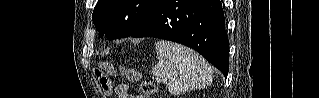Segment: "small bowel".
Here are the masks:
<instances>
[{"mask_svg":"<svg viewBox=\"0 0 319 98\" xmlns=\"http://www.w3.org/2000/svg\"><path fill=\"white\" fill-rule=\"evenodd\" d=\"M116 93L119 98H131V96L128 94V87L125 84L118 85L116 87Z\"/></svg>","mask_w":319,"mask_h":98,"instance_id":"obj_1","label":"small bowel"}]
</instances>
